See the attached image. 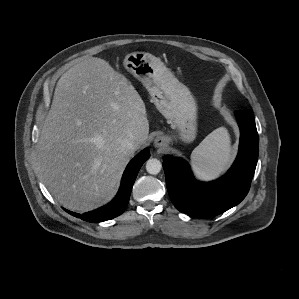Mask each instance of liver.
I'll use <instances>...</instances> for the list:
<instances>
[{"instance_id":"6515ba94","label":"liver","mask_w":299,"mask_h":299,"mask_svg":"<svg viewBox=\"0 0 299 299\" xmlns=\"http://www.w3.org/2000/svg\"><path fill=\"white\" fill-rule=\"evenodd\" d=\"M146 107L110 64L89 57L58 80L38 141L43 182L65 208L86 212L110 196L126 164L146 141ZM137 140L134 150L121 146Z\"/></svg>"}]
</instances>
